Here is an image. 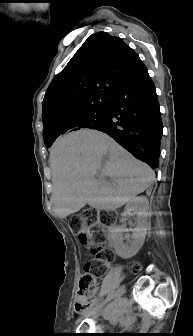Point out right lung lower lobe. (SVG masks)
<instances>
[{
	"instance_id": "obj_1",
	"label": "right lung lower lobe",
	"mask_w": 193,
	"mask_h": 336,
	"mask_svg": "<svg viewBox=\"0 0 193 336\" xmlns=\"http://www.w3.org/2000/svg\"><path fill=\"white\" fill-rule=\"evenodd\" d=\"M107 111V122L98 130L157 168L163 125L155 86L143 62L112 97Z\"/></svg>"
}]
</instances>
